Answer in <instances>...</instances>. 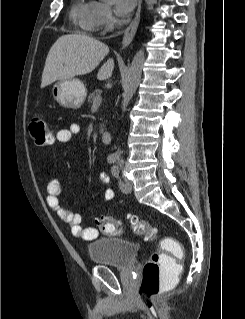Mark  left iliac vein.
Here are the masks:
<instances>
[{
  "instance_id": "left-iliac-vein-1",
  "label": "left iliac vein",
  "mask_w": 245,
  "mask_h": 319,
  "mask_svg": "<svg viewBox=\"0 0 245 319\" xmlns=\"http://www.w3.org/2000/svg\"><path fill=\"white\" fill-rule=\"evenodd\" d=\"M123 181H124V183H125V185H126V189L124 190V192H131V190H132V184H131V182L129 181V179H128L127 177L123 176Z\"/></svg>"
}]
</instances>
